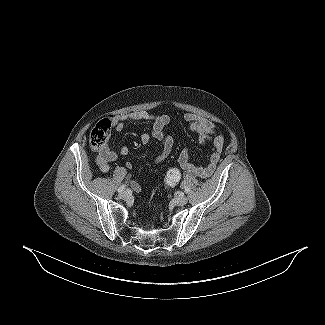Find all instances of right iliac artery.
<instances>
[{
	"instance_id": "obj_1",
	"label": "right iliac artery",
	"mask_w": 325,
	"mask_h": 325,
	"mask_svg": "<svg viewBox=\"0 0 325 325\" xmlns=\"http://www.w3.org/2000/svg\"><path fill=\"white\" fill-rule=\"evenodd\" d=\"M126 185H121L119 188H118V193H122L125 189Z\"/></svg>"
}]
</instances>
